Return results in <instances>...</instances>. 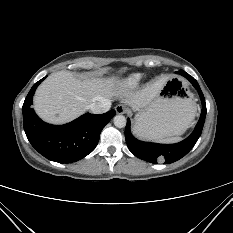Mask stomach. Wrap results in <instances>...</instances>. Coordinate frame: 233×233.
<instances>
[{
    "label": "stomach",
    "mask_w": 233,
    "mask_h": 233,
    "mask_svg": "<svg viewBox=\"0 0 233 233\" xmlns=\"http://www.w3.org/2000/svg\"><path fill=\"white\" fill-rule=\"evenodd\" d=\"M196 113L195 101L180 77L171 76L152 102L136 110L135 133L162 140L183 134Z\"/></svg>",
    "instance_id": "0dacf381"
}]
</instances>
